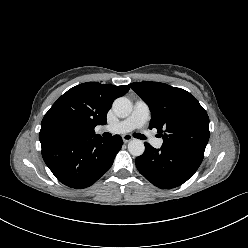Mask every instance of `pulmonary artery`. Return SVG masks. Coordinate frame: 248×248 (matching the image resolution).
Wrapping results in <instances>:
<instances>
[{
	"label": "pulmonary artery",
	"instance_id": "pulmonary-artery-1",
	"mask_svg": "<svg viewBox=\"0 0 248 248\" xmlns=\"http://www.w3.org/2000/svg\"><path fill=\"white\" fill-rule=\"evenodd\" d=\"M150 118V110L148 105L142 100H136L132 113L124 120L105 127V130L111 133H126L134 129H142ZM151 143L156 148H160L163 140L160 138L151 137Z\"/></svg>",
	"mask_w": 248,
	"mask_h": 248
}]
</instances>
